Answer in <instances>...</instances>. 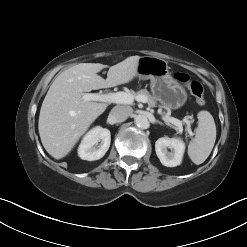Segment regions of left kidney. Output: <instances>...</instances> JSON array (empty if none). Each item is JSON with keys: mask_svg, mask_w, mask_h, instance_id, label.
<instances>
[{"mask_svg": "<svg viewBox=\"0 0 247 247\" xmlns=\"http://www.w3.org/2000/svg\"><path fill=\"white\" fill-rule=\"evenodd\" d=\"M168 148L171 149V152H168ZM155 151L164 166L176 167L181 164L185 143L180 138L162 137L156 141Z\"/></svg>", "mask_w": 247, "mask_h": 247, "instance_id": "1", "label": "left kidney"}]
</instances>
